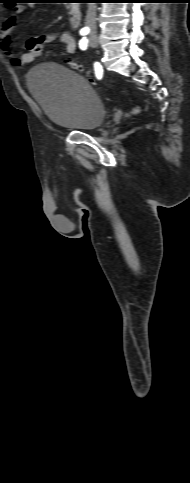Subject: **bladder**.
<instances>
[{
    "label": "bladder",
    "mask_w": 190,
    "mask_h": 483,
    "mask_svg": "<svg viewBox=\"0 0 190 483\" xmlns=\"http://www.w3.org/2000/svg\"><path fill=\"white\" fill-rule=\"evenodd\" d=\"M29 91L53 123L75 131L94 130L106 116L104 104L86 80L63 65L48 62L28 75Z\"/></svg>",
    "instance_id": "obj_1"
}]
</instances>
